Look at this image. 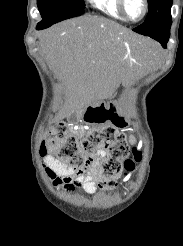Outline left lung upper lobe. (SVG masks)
Returning <instances> with one entry per match:
<instances>
[{"mask_svg":"<svg viewBox=\"0 0 183 246\" xmlns=\"http://www.w3.org/2000/svg\"><path fill=\"white\" fill-rule=\"evenodd\" d=\"M173 0H148L149 11L145 21L133 31L146 36L169 31L171 20V6Z\"/></svg>","mask_w":183,"mask_h":246,"instance_id":"1","label":"left lung upper lobe"}]
</instances>
